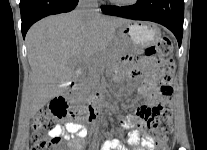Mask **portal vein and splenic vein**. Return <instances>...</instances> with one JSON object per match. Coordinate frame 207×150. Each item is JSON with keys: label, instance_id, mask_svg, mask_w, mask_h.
I'll list each match as a JSON object with an SVG mask.
<instances>
[{"label": "portal vein and splenic vein", "instance_id": "18ae733b", "mask_svg": "<svg viewBox=\"0 0 207 150\" xmlns=\"http://www.w3.org/2000/svg\"><path fill=\"white\" fill-rule=\"evenodd\" d=\"M97 62H98V60L96 58H94L93 60H90V61L87 62V66H90L91 64L97 63Z\"/></svg>", "mask_w": 207, "mask_h": 150}]
</instances>
